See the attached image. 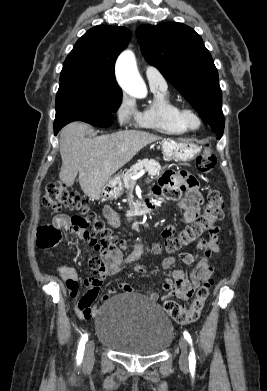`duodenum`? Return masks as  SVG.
Masks as SVG:
<instances>
[{
    "instance_id": "1",
    "label": "duodenum",
    "mask_w": 267,
    "mask_h": 391,
    "mask_svg": "<svg viewBox=\"0 0 267 391\" xmlns=\"http://www.w3.org/2000/svg\"><path fill=\"white\" fill-rule=\"evenodd\" d=\"M134 215H135V214L132 213V214L130 215L129 219H130V220H133V216H134Z\"/></svg>"
}]
</instances>
